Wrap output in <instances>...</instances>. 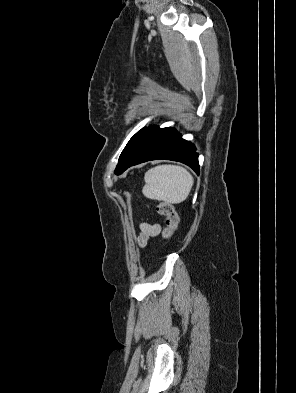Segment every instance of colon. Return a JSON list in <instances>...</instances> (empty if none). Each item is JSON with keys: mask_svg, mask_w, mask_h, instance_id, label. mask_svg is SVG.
Here are the masks:
<instances>
[{"mask_svg": "<svg viewBox=\"0 0 296 393\" xmlns=\"http://www.w3.org/2000/svg\"><path fill=\"white\" fill-rule=\"evenodd\" d=\"M156 210L158 214L165 217V229L163 232V237L165 239H170L178 227L179 218L174 206L168 202H160Z\"/></svg>", "mask_w": 296, "mask_h": 393, "instance_id": "obj_1", "label": "colon"}]
</instances>
